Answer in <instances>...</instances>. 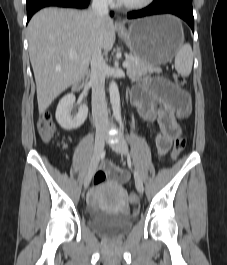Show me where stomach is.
<instances>
[{
	"label": "stomach",
	"mask_w": 227,
	"mask_h": 265,
	"mask_svg": "<svg viewBox=\"0 0 227 265\" xmlns=\"http://www.w3.org/2000/svg\"><path fill=\"white\" fill-rule=\"evenodd\" d=\"M119 35L134 55L154 66L169 62L183 43L181 22L172 15H158L134 21Z\"/></svg>",
	"instance_id": "1"
}]
</instances>
